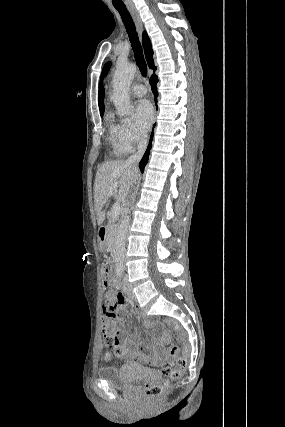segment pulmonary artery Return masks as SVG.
I'll return each instance as SVG.
<instances>
[{
    "mask_svg": "<svg viewBox=\"0 0 285 427\" xmlns=\"http://www.w3.org/2000/svg\"><path fill=\"white\" fill-rule=\"evenodd\" d=\"M132 95L142 97L146 94V88L142 84H134L131 88Z\"/></svg>",
    "mask_w": 285,
    "mask_h": 427,
    "instance_id": "1",
    "label": "pulmonary artery"
}]
</instances>
